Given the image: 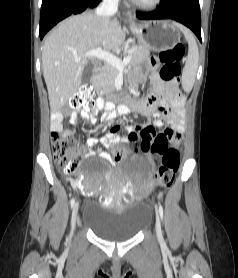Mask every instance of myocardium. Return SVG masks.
<instances>
[{"label": "myocardium", "mask_w": 238, "mask_h": 278, "mask_svg": "<svg viewBox=\"0 0 238 278\" xmlns=\"http://www.w3.org/2000/svg\"><path fill=\"white\" fill-rule=\"evenodd\" d=\"M134 5L144 10L155 9L160 3L161 0H131Z\"/></svg>", "instance_id": "1"}]
</instances>
